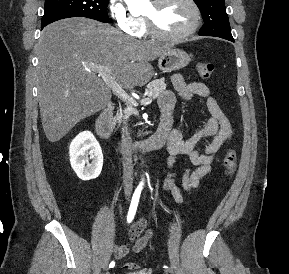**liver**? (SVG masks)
<instances>
[{
  "label": "liver",
  "instance_id": "6515ba94",
  "mask_svg": "<svg viewBox=\"0 0 289 274\" xmlns=\"http://www.w3.org/2000/svg\"><path fill=\"white\" fill-rule=\"evenodd\" d=\"M168 50V45L135 40L83 17L46 26L36 53L39 107L47 139L59 141L111 99L110 87L94 66L110 67L123 88L133 89L151 79L154 70L149 62Z\"/></svg>",
  "mask_w": 289,
  "mask_h": 274
}]
</instances>
